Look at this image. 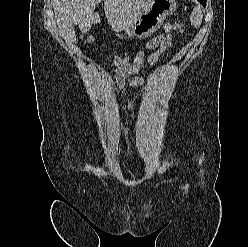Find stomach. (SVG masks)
Here are the masks:
<instances>
[{
    "label": "stomach",
    "instance_id": "1",
    "mask_svg": "<svg viewBox=\"0 0 248 247\" xmlns=\"http://www.w3.org/2000/svg\"><path fill=\"white\" fill-rule=\"evenodd\" d=\"M175 10V0H148L139 16L124 31L132 37H148L157 31L166 17Z\"/></svg>",
    "mask_w": 248,
    "mask_h": 247
}]
</instances>
